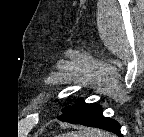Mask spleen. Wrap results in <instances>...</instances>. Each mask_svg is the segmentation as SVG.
<instances>
[{
	"mask_svg": "<svg viewBox=\"0 0 144 137\" xmlns=\"http://www.w3.org/2000/svg\"><path fill=\"white\" fill-rule=\"evenodd\" d=\"M62 137H111V135L105 131L83 127L78 131L63 134Z\"/></svg>",
	"mask_w": 144,
	"mask_h": 137,
	"instance_id": "obj_1",
	"label": "spleen"
}]
</instances>
